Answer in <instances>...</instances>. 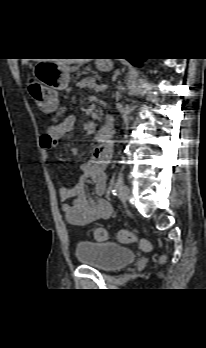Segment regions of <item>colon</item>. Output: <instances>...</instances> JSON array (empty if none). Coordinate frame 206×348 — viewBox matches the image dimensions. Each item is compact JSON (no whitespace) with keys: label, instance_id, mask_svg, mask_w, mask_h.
I'll return each mask as SVG.
<instances>
[{"label":"colon","instance_id":"colon-1","mask_svg":"<svg viewBox=\"0 0 206 348\" xmlns=\"http://www.w3.org/2000/svg\"><path fill=\"white\" fill-rule=\"evenodd\" d=\"M27 89L29 95L33 98V100L36 102L38 107L41 108H47L48 106L44 105L41 101L42 96V86L39 82H37L34 79H30L27 83ZM92 236L100 242H104L108 239V232L104 228H95L92 231ZM117 239L121 243H138L140 247L144 251H149L151 249V245L148 241L144 239H140L134 232L128 231V230H121L117 233Z\"/></svg>","mask_w":206,"mask_h":348}]
</instances>
